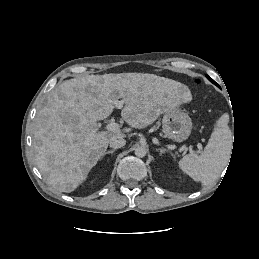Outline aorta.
<instances>
[{"instance_id": "1", "label": "aorta", "mask_w": 259, "mask_h": 259, "mask_svg": "<svg viewBox=\"0 0 259 259\" xmlns=\"http://www.w3.org/2000/svg\"><path fill=\"white\" fill-rule=\"evenodd\" d=\"M146 153H147L146 148H144V147H142V146H139V147H137V148L135 149V155H136L137 157L143 158V157L146 156Z\"/></svg>"}]
</instances>
